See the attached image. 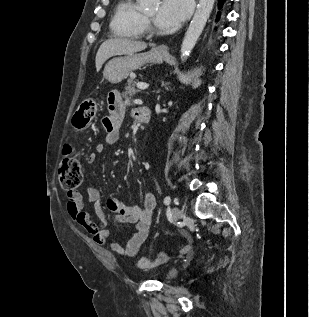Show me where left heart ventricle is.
Masks as SVG:
<instances>
[{"mask_svg": "<svg viewBox=\"0 0 309 317\" xmlns=\"http://www.w3.org/2000/svg\"><path fill=\"white\" fill-rule=\"evenodd\" d=\"M156 14H157V10H154V11L148 13V16H149L150 18L154 19L155 16H156Z\"/></svg>", "mask_w": 309, "mask_h": 317, "instance_id": "obj_1", "label": "left heart ventricle"}]
</instances>
